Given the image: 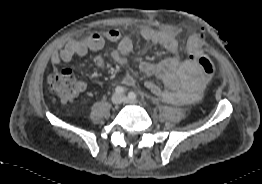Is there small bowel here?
Wrapping results in <instances>:
<instances>
[{"label":"small bowel","instance_id":"1","mask_svg":"<svg viewBox=\"0 0 262 184\" xmlns=\"http://www.w3.org/2000/svg\"><path fill=\"white\" fill-rule=\"evenodd\" d=\"M141 39L147 43L161 46L166 52V57L158 63L145 61L140 65V70L147 76H156L164 87H160L153 81H146L144 86L154 95L161 97L164 101L180 105L191 104L201 99L207 81V75L196 66L194 62L197 39L205 41L207 39L206 27L199 25L190 31L186 41V60L178 57L179 42L177 36L169 31L142 30ZM117 44L112 53V58L120 65L128 63V56L133 50L134 40L129 36H124L116 29L108 30L104 33H93L80 41H69L59 47L51 56V63L59 65L69 62L74 57H83L88 52H99L105 42ZM98 67L103 66L104 61L100 55L93 59ZM125 85H132V76L123 78Z\"/></svg>","mask_w":262,"mask_h":184}]
</instances>
